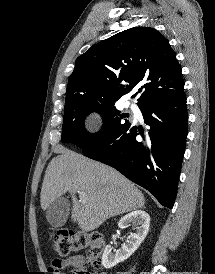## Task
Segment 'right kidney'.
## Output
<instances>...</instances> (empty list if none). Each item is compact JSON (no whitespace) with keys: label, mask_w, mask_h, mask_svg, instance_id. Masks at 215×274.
I'll return each instance as SVG.
<instances>
[{"label":"right kidney","mask_w":215,"mask_h":274,"mask_svg":"<svg viewBox=\"0 0 215 274\" xmlns=\"http://www.w3.org/2000/svg\"><path fill=\"white\" fill-rule=\"evenodd\" d=\"M126 225L136 227V233H131L119 250L107 245L103 252L102 264L110 269L120 262L128 259L145 239L150 226V216L142 210H135L120 219L118 227L123 229Z\"/></svg>","instance_id":"right-kidney-1"}]
</instances>
